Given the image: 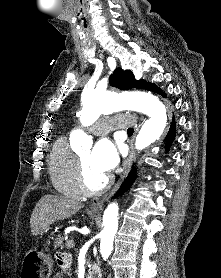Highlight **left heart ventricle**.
<instances>
[{"mask_svg":"<svg viewBox=\"0 0 221 278\" xmlns=\"http://www.w3.org/2000/svg\"><path fill=\"white\" fill-rule=\"evenodd\" d=\"M80 159L85 167L88 183L91 187H98L106 178V175L98 171L91 162V151L89 149L82 151Z\"/></svg>","mask_w":221,"mask_h":278,"instance_id":"1","label":"left heart ventricle"}]
</instances>
